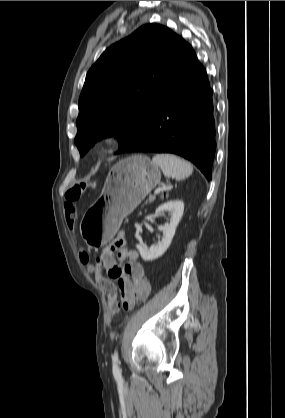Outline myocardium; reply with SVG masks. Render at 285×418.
<instances>
[{
    "label": "myocardium",
    "mask_w": 285,
    "mask_h": 418,
    "mask_svg": "<svg viewBox=\"0 0 285 418\" xmlns=\"http://www.w3.org/2000/svg\"><path fill=\"white\" fill-rule=\"evenodd\" d=\"M115 141L116 139L112 135L102 136L95 142V151L98 154H104L114 146Z\"/></svg>",
    "instance_id": "obj_1"
}]
</instances>
